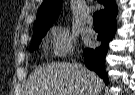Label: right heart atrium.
<instances>
[{
  "mask_svg": "<svg viewBox=\"0 0 135 95\" xmlns=\"http://www.w3.org/2000/svg\"><path fill=\"white\" fill-rule=\"evenodd\" d=\"M52 54L63 58L74 51L75 37L64 26H56L50 32Z\"/></svg>",
  "mask_w": 135,
  "mask_h": 95,
  "instance_id": "right-heart-atrium-1",
  "label": "right heart atrium"
}]
</instances>
